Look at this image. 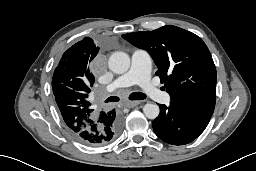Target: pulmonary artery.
Listing matches in <instances>:
<instances>
[{
	"instance_id": "1",
	"label": "pulmonary artery",
	"mask_w": 256,
	"mask_h": 171,
	"mask_svg": "<svg viewBox=\"0 0 256 171\" xmlns=\"http://www.w3.org/2000/svg\"><path fill=\"white\" fill-rule=\"evenodd\" d=\"M151 65V57L146 50H134L131 56L130 69L125 74L115 79L107 87V90L113 91L137 84L152 99L164 103L169 102V96L151 82Z\"/></svg>"
}]
</instances>
